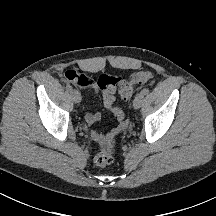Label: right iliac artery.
<instances>
[{
  "mask_svg": "<svg viewBox=\"0 0 216 216\" xmlns=\"http://www.w3.org/2000/svg\"><path fill=\"white\" fill-rule=\"evenodd\" d=\"M66 90H67L68 92H71V91H72V86L67 85V86H66Z\"/></svg>",
  "mask_w": 216,
  "mask_h": 216,
  "instance_id": "obj_1",
  "label": "right iliac artery"
}]
</instances>
